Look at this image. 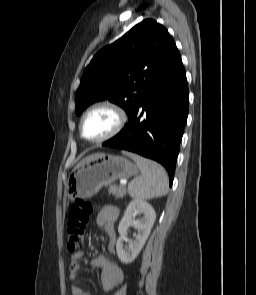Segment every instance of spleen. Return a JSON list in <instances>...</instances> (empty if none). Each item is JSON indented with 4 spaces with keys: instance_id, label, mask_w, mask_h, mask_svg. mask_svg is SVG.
Wrapping results in <instances>:
<instances>
[{
    "instance_id": "1",
    "label": "spleen",
    "mask_w": 256,
    "mask_h": 295,
    "mask_svg": "<svg viewBox=\"0 0 256 295\" xmlns=\"http://www.w3.org/2000/svg\"><path fill=\"white\" fill-rule=\"evenodd\" d=\"M123 154L134 160L142 173L128 185V192L132 198L145 200L167 194L168 176L160 164L134 153L123 152Z\"/></svg>"
}]
</instances>
